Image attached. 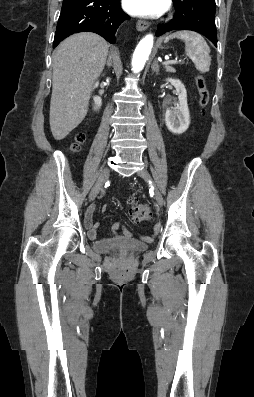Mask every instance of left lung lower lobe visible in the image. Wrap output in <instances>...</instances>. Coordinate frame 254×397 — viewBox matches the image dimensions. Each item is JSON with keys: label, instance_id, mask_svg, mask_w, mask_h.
Listing matches in <instances>:
<instances>
[{"label": "left lung lower lobe", "instance_id": "1", "mask_svg": "<svg viewBox=\"0 0 254 397\" xmlns=\"http://www.w3.org/2000/svg\"><path fill=\"white\" fill-rule=\"evenodd\" d=\"M176 8L173 19L159 24L156 36L176 29H187L205 35L217 47L215 0H173Z\"/></svg>", "mask_w": 254, "mask_h": 397}]
</instances>
